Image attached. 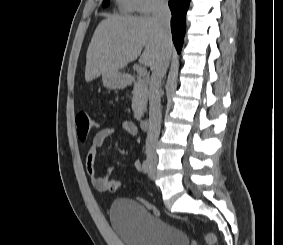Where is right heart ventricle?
Returning <instances> with one entry per match:
<instances>
[{"instance_id":"1","label":"right heart ventricle","mask_w":283,"mask_h":245,"mask_svg":"<svg viewBox=\"0 0 283 245\" xmlns=\"http://www.w3.org/2000/svg\"><path fill=\"white\" fill-rule=\"evenodd\" d=\"M116 2L119 8L124 12L134 11L131 0H116Z\"/></svg>"}]
</instances>
